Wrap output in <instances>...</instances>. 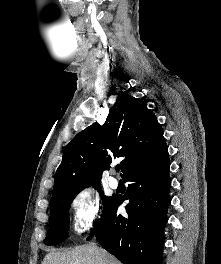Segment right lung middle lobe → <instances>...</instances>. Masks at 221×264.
Instances as JSON below:
<instances>
[{"instance_id": "1", "label": "right lung middle lobe", "mask_w": 221, "mask_h": 264, "mask_svg": "<svg viewBox=\"0 0 221 264\" xmlns=\"http://www.w3.org/2000/svg\"><path fill=\"white\" fill-rule=\"evenodd\" d=\"M95 188L100 192V195L103 196V216L112 205L115 196H104L100 186ZM78 193L79 192L59 197L51 203L49 230L45 238L46 245L58 244L68 237L69 209L73 199ZM95 226H97V223L94 224V227Z\"/></svg>"}]
</instances>
